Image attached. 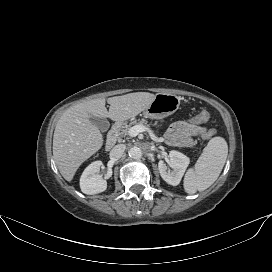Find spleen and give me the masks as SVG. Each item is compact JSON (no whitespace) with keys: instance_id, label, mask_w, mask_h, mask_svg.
<instances>
[{"instance_id":"spleen-1","label":"spleen","mask_w":272,"mask_h":272,"mask_svg":"<svg viewBox=\"0 0 272 272\" xmlns=\"http://www.w3.org/2000/svg\"><path fill=\"white\" fill-rule=\"evenodd\" d=\"M228 155V145L224 138L214 137L205 147L194 169H189L184 177V190L188 194L210 187L220 175Z\"/></svg>"}]
</instances>
